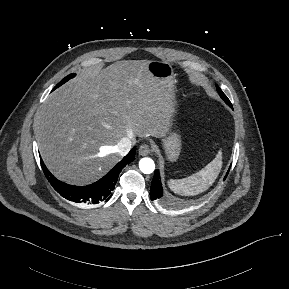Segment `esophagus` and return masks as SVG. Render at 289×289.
Returning a JSON list of instances; mask_svg holds the SVG:
<instances>
[{
	"instance_id": "esophagus-1",
	"label": "esophagus",
	"mask_w": 289,
	"mask_h": 289,
	"mask_svg": "<svg viewBox=\"0 0 289 289\" xmlns=\"http://www.w3.org/2000/svg\"><path fill=\"white\" fill-rule=\"evenodd\" d=\"M150 152H151V148L148 144H142L139 147V154L141 156H146V155L150 154Z\"/></svg>"
}]
</instances>
